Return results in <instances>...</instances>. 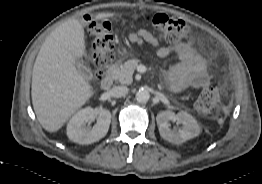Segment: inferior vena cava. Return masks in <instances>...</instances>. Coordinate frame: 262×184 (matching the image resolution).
I'll return each mask as SVG.
<instances>
[{
  "instance_id": "1",
  "label": "inferior vena cava",
  "mask_w": 262,
  "mask_h": 184,
  "mask_svg": "<svg viewBox=\"0 0 262 184\" xmlns=\"http://www.w3.org/2000/svg\"><path fill=\"white\" fill-rule=\"evenodd\" d=\"M129 89L125 86H115L110 90V95L112 97H123L128 93Z\"/></svg>"
}]
</instances>
